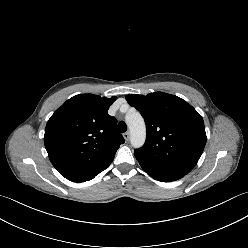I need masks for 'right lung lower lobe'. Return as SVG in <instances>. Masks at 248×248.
Masks as SVG:
<instances>
[{"mask_svg":"<svg viewBox=\"0 0 248 248\" xmlns=\"http://www.w3.org/2000/svg\"><path fill=\"white\" fill-rule=\"evenodd\" d=\"M114 157L109 158L99 164L84 167V168H73V167H63L57 168V171L66 179L73 182H84L93 179L97 174L105 170L110 163L113 161Z\"/></svg>","mask_w":248,"mask_h":248,"instance_id":"obj_1","label":"right lung lower lobe"}]
</instances>
